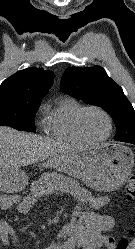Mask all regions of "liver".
Wrapping results in <instances>:
<instances>
[{"mask_svg": "<svg viewBox=\"0 0 135 249\" xmlns=\"http://www.w3.org/2000/svg\"><path fill=\"white\" fill-rule=\"evenodd\" d=\"M71 145L0 126V169L20 168L63 155Z\"/></svg>", "mask_w": 135, "mask_h": 249, "instance_id": "1", "label": "liver"}]
</instances>
